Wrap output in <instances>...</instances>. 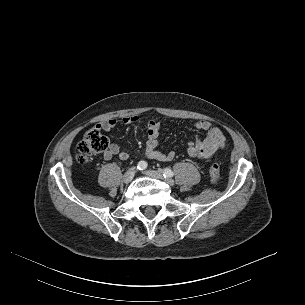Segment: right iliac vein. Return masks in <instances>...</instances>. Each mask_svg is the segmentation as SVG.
Wrapping results in <instances>:
<instances>
[{"instance_id": "1", "label": "right iliac vein", "mask_w": 305, "mask_h": 305, "mask_svg": "<svg viewBox=\"0 0 305 305\" xmlns=\"http://www.w3.org/2000/svg\"><path fill=\"white\" fill-rule=\"evenodd\" d=\"M135 176V169H131L129 171H127L124 175H123V182L124 183H129L132 181V179Z\"/></svg>"}]
</instances>
